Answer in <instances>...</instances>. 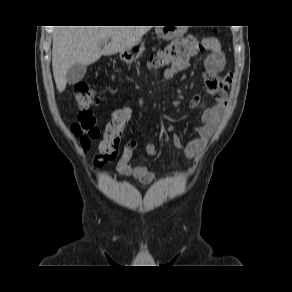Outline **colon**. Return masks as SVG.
<instances>
[{
  "label": "colon",
  "mask_w": 292,
  "mask_h": 292,
  "mask_svg": "<svg viewBox=\"0 0 292 292\" xmlns=\"http://www.w3.org/2000/svg\"><path fill=\"white\" fill-rule=\"evenodd\" d=\"M202 50L203 45L194 37L176 40L153 55L149 64L155 69L168 68L186 61L190 56ZM74 98L79 114L78 121L71 126V132L83 151H87L94 140L101 138L98 152L93 159L94 167L99 168L116 157L122 133L131 113L127 108L116 110L102 133L92 111V107L101 101V95L87 83L79 82L74 87ZM143 106L148 113L151 112L152 99H146ZM146 153L150 158H156L159 151L156 145L147 143Z\"/></svg>",
  "instance_id": "obj_1"
}]
</instances>
